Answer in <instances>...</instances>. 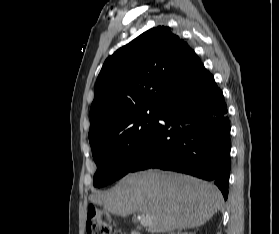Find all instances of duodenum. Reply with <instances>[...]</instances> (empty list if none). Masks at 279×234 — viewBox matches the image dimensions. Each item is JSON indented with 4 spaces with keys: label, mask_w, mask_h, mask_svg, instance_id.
Segmentation results:
<instances>
[{
    "label": "duodenum",
    "mask_w": 279,
    "mask_h": 234,
    "mask_svg": "<svg viewBox=\"0 0 279 234\" xmlns=\"http://www.w3.org/2000/svg\"><path fill=\"white\" fill-rule=\"evenodd\" d=\"M132 234H140V233H138V232H133Z\"/></svg>",
    "instance_id": "duodenum-1"
}]
</instances>
